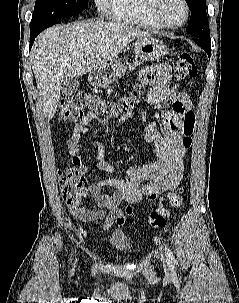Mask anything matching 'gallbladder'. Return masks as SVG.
Segmentation results:
<instances>
[{"instance_id":"bac80fb5","label":"gallbladder","mask_w":239,"mask_h":303,"mask_svg":"<svg viewBox=\"0 0 239 303\" xmlns=\"http://www.w3.org/2000/svg\"><path fill=\"white\" fill-rule=\"evenodd\" d=\"M79 88V82L77 78L65 79L61 84L62 95L69 96L74 94Z\"/></svg>"}]
</instances>
